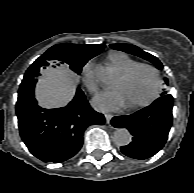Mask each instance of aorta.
Returning a JSON list of instances; mask_svg holds the SVG:
<instances>
[{
  "mask_svg": "<svg viewBox=\"0 0 194 193\" xmlns=\"http://www.w3.org/2000/svg\"><path fill=\"white\" fill-rule=\"evenodd\" d=\"M95 76L104 84H110L114 79L113 71L101 65L95 68ZM113 139L117 145L126 146L131 142V134L126 128H119L114 132Z\"/></svg>",
  "mask_w": 194,
  "mask_h": 193,
  "instance_id": "obj_1",
  "label": "aorta"
}]
</instances>
